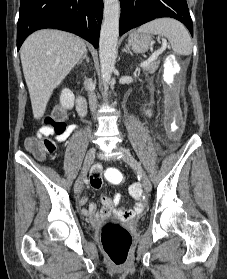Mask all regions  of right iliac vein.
Listing matches in <instances>:
<instances>
[{
	"label": "right iliac vein",
	"mask_w": 227,
	"mask_h": 279,
	"mask_svg": "<svg viewBox=\"0 0 227 279\" xmlns=\"http://www.w3.org/2000/svg\"><path fill=\"white\" fill-rule=\"evenodd\" d=\"M95 153H96V149L94 147H91L88 150V152H87V154L85 156L84 163H83L82 173L78 177V179L76 180L75 185H74V192H75V194H78L81 191L82 187H83V182H84V178H85L86 172H87L89 166L92 164V162L94 160Z\"/></svg>",
	"instance_id": "63e3f726"
}]
</instances>
